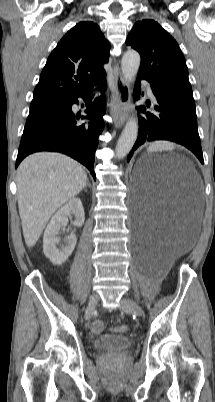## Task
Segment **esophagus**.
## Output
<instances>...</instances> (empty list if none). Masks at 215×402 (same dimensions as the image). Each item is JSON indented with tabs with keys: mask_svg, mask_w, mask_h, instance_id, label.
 I'll list each match as a JSON object with an SVG mask.
<instances>
[{
	"mask_svg": "<svg viewBox=\"0 0 215 402\" xmlns=\"http://www.w3.org/2000/svg\"><path fill=\"white\" fill-rule=\"evenodd\" d=\"M112 100L113 107L111 114L115 122V127L119 128L124 124L128 116L126 105L130 100V90L118 65L114 66V91Z\"/></svg>",
	"mask_w": 215,
	"mask_h": 402,
	"instance_id": "34e87169",
	"label": "esophagus"
}]
</instances>
